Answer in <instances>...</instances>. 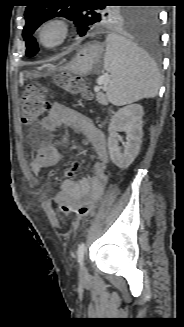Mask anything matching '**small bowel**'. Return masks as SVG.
<instances>
[{
  "mask_svg": "<svg viewBox=\"0 0 184 327\" xmlns=\"http://www.w3.org/2000/svg\"><path fill=\"white\" fill-rule=\"evenodd\" d=\"M62 125L68 126L91 144L96 155V162L89 176L76 180L72 177L83 170L86 165L85 159H67L69 170H64V177L54 178L53 184L60 185V190L53 197L58 206H79L85 200L95 203L102 195L107 183L106 169L109 162L108 149L104 133L85 115L73 108L61 103L53 102L48 114L41 120V128L48 132L59 129ZM37 153L31 162L32 172L36 175L42 174L44 170L50 171L51 177H58L59 171L53 170L61 155L58 149L45 140H39ZM52 182L50 179L47 181Z\"/></svg>",
  "mask_w": 184,
  "mask_h": 327,
  "instance_id": "small-bowel-1",
  "label": "small bowel"
}]
</instances>
